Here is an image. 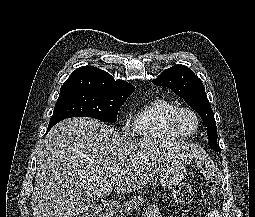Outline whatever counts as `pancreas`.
Here are the masks:
<instances>
[{"label":"pancreas","mask_w":255,"mask_h":217,"mask_svg":"<svg viewBox=\"0 0 255 217\" xmlns=\"http://www.w3.org/2000/svg\"><path fill=\"white\" fill-rule=\"evenodd\" d=\"M145 201V197L142 195L133 196L129 201L124 202L122 208L119 210L120 215H116V217H126L127 213L133 209H137L138 206L142 205Z\"/></svg>","instance_id":"cf45deb5"}]
</instances>
